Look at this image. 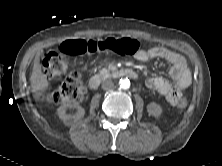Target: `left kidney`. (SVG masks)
Masks as SVG:
<instances>
[{
    "label": "left kidney",
    "instance_id": "1",
    "mask_svg": "<svg viewBox=\"0 0 222 166\" xmlns=\"http://www.w3.org/2000/svg\"><path fill=\"white\" fill-rule=\"evenodd\" d=\"M147 111L149 115L159 117L162 114L163 109L159 104L151 102L147 105Z\"/></svg>",
    "mask_w": 222,
    "mask_h": 166
}]
</instances>
